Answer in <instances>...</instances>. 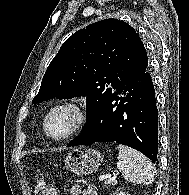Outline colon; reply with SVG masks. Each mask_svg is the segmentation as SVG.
Masks as SVG:
<instances>
[{
    "mask_svg": "<svg viewBox=\"0 0 189 195\" xmlns=\"http://www.w3.org/2000/svg\"><path fill=\"white\" fill-rule=\"evenodd\" d=\"M34 194L35 195H56L55 189L43 178H37L34 182ZM74 195L78 193L77 187H72Z\"/></svg>",
    "mask_w": 189,
    "mask_h": 195,
    "instance_id": "obj_1",
    "label": "colon"
}]
</instances>
